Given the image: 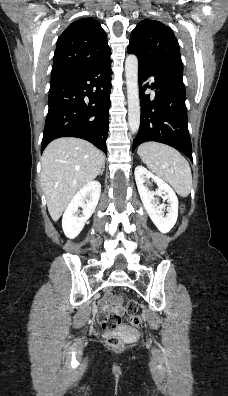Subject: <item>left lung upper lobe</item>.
Wrapping results in <instances>:
<instances>
[{
	"label": "left lung upper lobe",
	"instance_id": "1",
	"mask_svg": "<svg viewBox=\"0 0 228 396\" xmlns=\"http://www.w3.org/2000/svg\"><path fill=\"white\" fill-rule=\"evenodd\" d=\"M128 52L136 54L142 65L183 75L178 41L171 28L159 21H141L131 33Z\"/></svg>",
	"mask_w": 228,
	"mask_h": 396
}]
</instances>
